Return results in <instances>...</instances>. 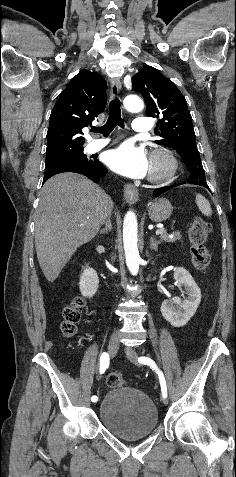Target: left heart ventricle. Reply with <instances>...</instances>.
<instances>
[{
  "mask_svg": "<svg viewBox=\"0 0 236 477\" xmlns=\"http://www.w3.org/2000/svg\"><path fill=\"white\" fill-rule=\"evenodd\" d=\"M162 165L160 162H152L151 161V167H150V172H158L161 169Z\"/></svg>",
  "mask_w": 236,
  "mask_h": 477,
  "instance_id": "1",
  "label": "left heart ventricle"
}]
</instances>
